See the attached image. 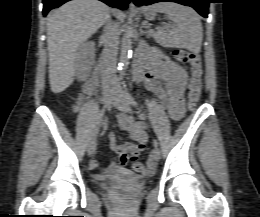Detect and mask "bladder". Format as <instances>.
I'll return each mask as SVG.
<instances>
[{
  "label": "bladder",
  "mask_w": 260,
  "mask_h": 217,
  "mask_svg": "<svg viewBox=\"0 0 260 217\" xmlns=\"http://www.w3.org/2000/svg\"><path fill=\"white\" fill-rule=\"evenodd\" d=\"M117 177L123 180H134L138 178V175L130 170L123 169L117 172Z\"/></svg>",
  "instance_id": "31cf9c89"
}]
</instances>
